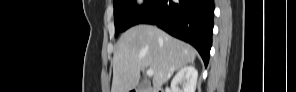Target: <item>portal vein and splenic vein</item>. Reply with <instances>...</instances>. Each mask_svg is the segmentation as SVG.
Wrapping results in <instances>:
<instances>
[{
	"label": "portal vein and splenic vein",
	"mask_w": 296,
	"mask_h": 92,
	"mask_svg": "<svg viewBox=\"0 0 296 92\" xmlns=\"http://www.w3.org/2000/svg\"><path fill=\"white\" fill-rule=\"evenodd\" d=\"M146 74L151 77L154 74V71L152 69H147Z\"/></svg>",
	"instance_id": "portal-vein-and-splenic-vein-1"
}]
</instances>
